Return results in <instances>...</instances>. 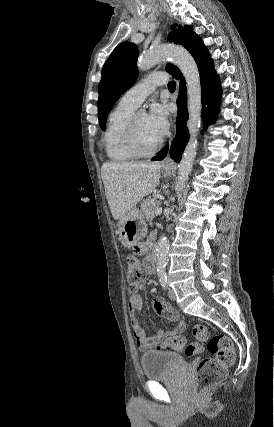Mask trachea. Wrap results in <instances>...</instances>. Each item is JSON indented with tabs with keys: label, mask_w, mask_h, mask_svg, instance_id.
Returning <instances> with one entry per match:
<instances>
[{
	"label": "trachea",
	"mask_w": 274,
	"mask_h": 427,
	"mask_svg": "<svg viewBox=\"0 0 274 427\" xmlns=\"http://www.w3.org/2000/svg\"><path fill=\"white\" fill-rule=\"evenodd\" d=\"M168 89H169L171 92H174V91H175V89H176V82H173V81L169 82V83H168Z\"/></svg>",
	"instance_id": "3493384b"
}]
</instances>
